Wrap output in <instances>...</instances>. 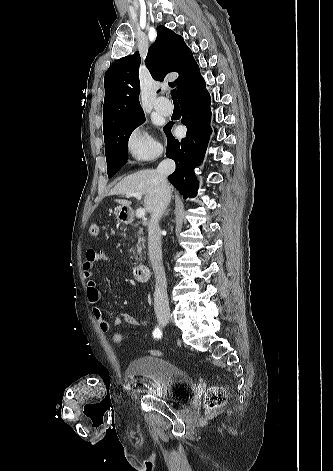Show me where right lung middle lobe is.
Segmentation results:
<instances>
[{
  "instance_id": "right-lung-middle-lobe-1",
  "label": "right lung middle lobe",
  "mask_w": 333,
  "mask_h": 471,
  "mask_svg": "<svg viewBox=\"0 0 333 471\" xmlns=\"http://www.w3.org/2000/svg\"><path fill=\"white\" fill-rule=\"evenodd\" d=\"M145 121L144 113L129 120L114 124L104 131L105 154L107 161L108 177H113L128 158V139L139 125Z\"/></svg>"
}]
</instances>
